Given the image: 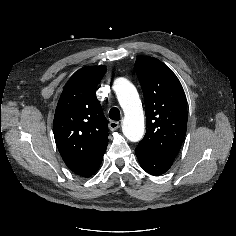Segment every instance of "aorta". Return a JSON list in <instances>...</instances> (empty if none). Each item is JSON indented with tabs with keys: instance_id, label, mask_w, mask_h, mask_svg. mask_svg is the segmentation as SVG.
<instances>
[{
	"instance_id": "762f6f07",
	"label": "aorta",
	"mask_w": 236,
	"mask_h": 236,
	"mask_svg": "<svg viewBox=\"0 0 236 236\" xmlns=\"http://www.w3.org/2000/svg\"><path fill=\"white\" fill-rule=\"evenodd\" d=\"M114 89L124 112L123 134L128 140L137 142L142 139L145 129L144 114L138 92L134 85L124 78H118L115 81Z\"/></svg>"
}]
</instances>
